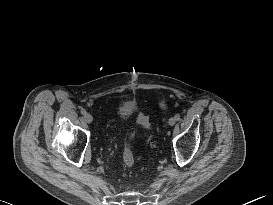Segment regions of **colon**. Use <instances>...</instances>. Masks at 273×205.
<instances>
[{"instance_id":"1","label":"colon","mask_w":273,"mask_h":205,"mask_svg":"<svg viewBox=\"0 0 273 205\" xmlns=\"http://www.w3.org/2000/svg\"><path fill=\"white\" fill-rule=\"evenodd\" d=\"M164 106V104H162ZM137 121L140 125L143 127H148L149 126V121L146 116L139 115L137 118ZM133 135L129 136V142L127 143L124 152H123V164L126 167H132L134 162H135V157H134V152L131 146V141H132Z\"/></svg>"}]
</instances>
